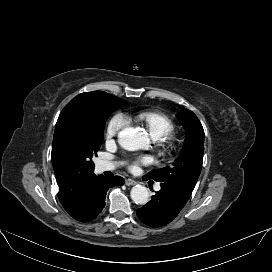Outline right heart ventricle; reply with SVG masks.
Masks as SVG:
<instances>
[{
    "instance_id": "e07e8e85",
    "label": "right heart ventricle",
    "mask_w": 272,
    "mask_h": 272,
    "mask_svg": "<svg viewBox=\"0 0 272 272\" xmlns=\"http://www.w3.org/2000/svg\"><path fill=\"white\" fill-rule=\"evenodd\" d=\"M138 119L144 121L151 136L159 139L169 135L174 130L173 122L166 116L156 112H142Z\"/></svg>"
}]
</instances>
